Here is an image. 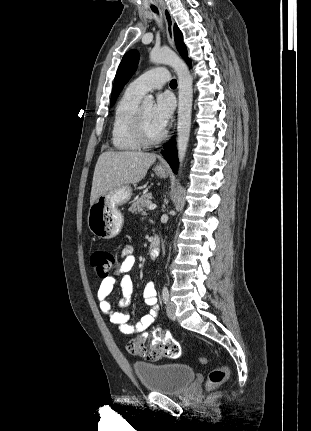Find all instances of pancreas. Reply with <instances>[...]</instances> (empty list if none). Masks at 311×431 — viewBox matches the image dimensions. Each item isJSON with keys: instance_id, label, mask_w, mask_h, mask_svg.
<instances>
[{"instance_id": "obj_1", "label": "pancreas", "mask_w": 311, "mask_h": 431, "mask_svg": "<svg viewBox=\"0 0 311 431\" xmlns=\"http://www.w3.org/2000/svg\"><path fill=\"white\" fill-rule=\"evenodd\" d=\"M152 200V194H144L138 200H135L134 204H131L130 208H128V212H132V214H140V212H145L147 210V202Z\"/></svg>"}]
</instances>
